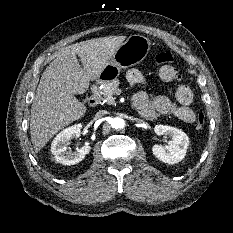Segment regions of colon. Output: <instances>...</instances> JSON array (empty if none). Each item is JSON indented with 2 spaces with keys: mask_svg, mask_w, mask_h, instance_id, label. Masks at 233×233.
<instances>
[{
  "mask_svg": "<svg viewBox=\"0 0 233 233\" xmlns=\"http://www.w3.org/2000/svg\"><path fill=\"white\" fill-rule=\"evenodd\" d=\"M155 60L160 66L159 77L167 83L177 82L180 78L176 68L173 67V56L170 52H162L156 55ZM195 125L197 129H202L205 124V114L199 112L195 115Z\"/></svg>",
  "mask_w": 233,
  "mask_h": 233,
  "instance_id": "5ec220e1",
  "label": "colon"
}]
</instances>
